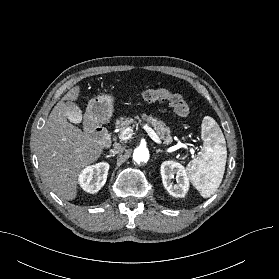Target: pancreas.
<instances>
[{"label": "pancreas", "instance_id": "1", "mask_svg": "<svg viewBox=\"0 0 279 279\" xmlns=\"http://www.w3.org/2000/svg\"><path fill=\"white\" fill-rule=\"evenodd\" d=\"M137 121H144L146 124L151 125L167 144L172 141L169 128L165 127L163 121L158 120L151 115L142 114L141 118L139 116H135L134 118L120 117L116 120V128L122 133L126 128L131 127V125H137Z\"/></svg>", "mask_w": 279, "mask_h": 279}]
</instances>
